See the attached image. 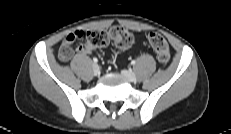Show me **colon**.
<instances>
[{
    "instance_id": "1",
    "label": "colon",
    "mask_w": 231,
    "mask_h": 134,
    "mask_svg": "<svg viewBox=\"0 0 231 134\" xmlns=\"http://www.w3.org/2000/svg\"><path fill=\"white\" fill-rule=\"evenodd\" d=\"M84 34L86 44L90 48L104 47L111 41L119 49L125 50L133 44L132 34L122 26H113L108 31L102 29L91 30L86 33L78 31L75 36L80 38ZM148 41L155 51L158 61L166 65L170 60V51L165 38L157 32H151L148 35Z\"/></svg>"
}]
</instances>
